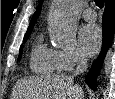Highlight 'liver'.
<instances>
[{"instance_id": "1", "label": "liver", "mask_w": 115, "mask_h": 99, "mask_svg": "<svg viewBox=\"0 0 115 99\" xmlns=\"http://www.w3.org/2000/svg\"><path fill=\"white\" fill-rule=\"evenodd\" d=\"M13 99H84L79 85L68 75L23 78L16 82Z\"/></svg>"}]
</instances>
